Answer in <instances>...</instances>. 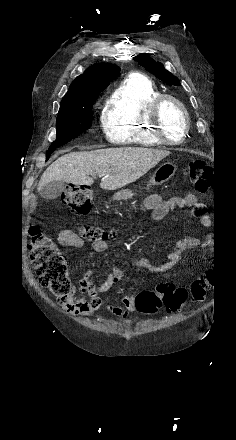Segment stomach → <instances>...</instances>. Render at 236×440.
<instances>
[{
  "mask_svg": "<svg viewBox=\"0 0 236 440\" xmlns=\"http://www.w3.org/2000/svg\"><path fill=\"white\" fill-rule=\"evenodd\" d=\"M176 165L172 162H166L160 165L156 171L151 176L149 182L147 183V188L151 185H160L164 182L168 181L176 172ZM134 194L131 191L123 190L121 192L116 193L113 196L114 200H126L133 196Z\"/></svg>",
  "mask_w": 236,
  "mask_h": 440,
  "instance_id": "stomach-1",
  "label": "stomach"
}]
</instances>
